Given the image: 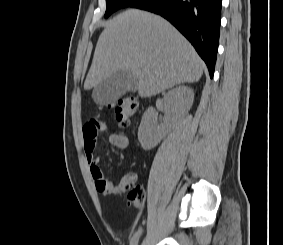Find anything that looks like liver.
<instances>
[{"mask_svg": "<svg viewBox=\"0 0 283 245\" xmlns=\"http://www.w3.org/2000/svg\"><path fill=\"white\" fill-rule=\"evenodd\" d=\"M204 63L193 46L160 16L129 9L105 24L84 89L111 74L130 71L140 97H150L181 83L199 81Z\"/></svg>", "mask_w": 283, "mask_h": 245, "instance_id": "liver-1", "label": "liver"}]
</instances>
